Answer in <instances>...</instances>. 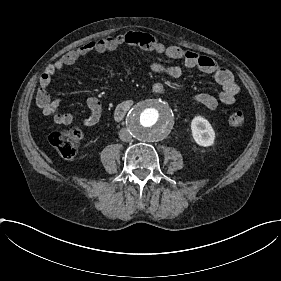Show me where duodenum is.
Wrapping results in <instances>:
<instances>
[{"label": "duodenum", "mask_w": 281, "mask_h": 281, "mask_svg": "<svg viewBox=\"0 0 281 281\" xmlns=\"http://www.w3.org/2000/svg\"><path fill=\"white\" fill-rule=\"evenodd\" d=\"M131 106H132L131 101H125V102L119 104L114 112L115 119L118 121L122 120L126 116L127 112L131 108Z\"/></svg>", "instance_id": "410a0bca"}]
</instances>
